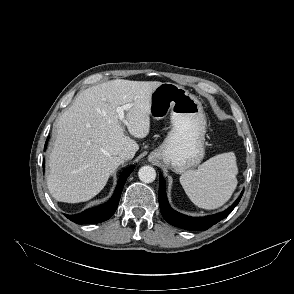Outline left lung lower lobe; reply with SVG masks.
<instances>
[{"label":"left lung lower lobe","instance_id":"obj_1","mask_svg":"<svg viewBox=\"0 0 294 294\" xmlns=\"http://www.w3.org/2000/svg\"><path fill=\"white\" fill-rule=\"evenodd\" d=\"M243 195V191L241 192L239 198L230 206L227 210L210 215L205 217H190L185 216L183 214H180L176 211H174L166 198L165 194V181L162 176L159 177V192H158V199L160 204V210L165 218V220L170 223L173 226L183 228L186 230H207L223 218H225L228 214L232 212V210L236 207V205L239 203L241 197Z\"/></svg>","mask_w":294,"mask_h":294}]
</instances>
